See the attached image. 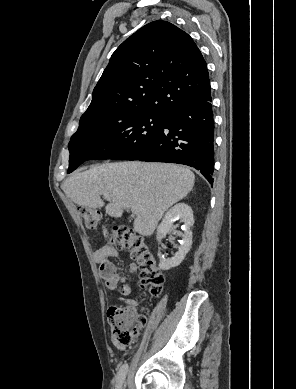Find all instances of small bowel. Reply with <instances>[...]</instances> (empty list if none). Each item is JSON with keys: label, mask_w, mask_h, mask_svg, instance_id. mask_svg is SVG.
I'll list each match as a JSON object with an SVG mask.
<instances>
[{"label": "small bowel", "mask_w": 296, "mask_h": 389, "mask_svg": "<svg viewBox=\"0 0 296 389\" xmlns=\"http://www.w3.org/2000/svg\"><path fill=\"white\" fill-rule=\"evenodd\" d=\"M116 254L117 251L113 247L105 245L94 252L93 258L99 267L106 288L108 290H118L122 296H128L132 290L131 285L124 276L117 273L114 263L110 260ZM128 270L130 273H136L138 265L132 262L128 265Z\"/></svg>", "instance_id": "1"}]
</instances>
